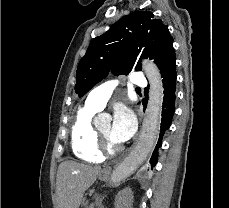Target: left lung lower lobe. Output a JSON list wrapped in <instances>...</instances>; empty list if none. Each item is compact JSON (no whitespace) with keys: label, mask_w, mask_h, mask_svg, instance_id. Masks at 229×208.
I'll list each match as a JSON object with an SVG mask.
<instances>
[{"label":"left lung lower lobe","mask_w":229,"mask_h":208,"mask_svg":"<svg viewBox=\"0 0 229 208\" xmlns=\"http://www.w3.org/2000/svg\"><path fill=\"white\" fill-rule=\"evenodd\" d=\"M163 88H164V99H163V108H162V119H161V129H160V138L158 140V143L155 147V150L152 154V157L150 159V166L153 168V166L156 165L158 161V149L161 146L162 142V136L166 130L169 129L171 122H172V116L175 111V90H176V67H175V60H173L165 74L163 75ZM147 105V98L143 100V106L144 110Z\"/></svg>","instance_id":"left-lung-lower-lobe-1"}]
</instances>
